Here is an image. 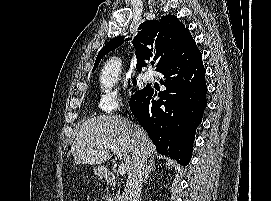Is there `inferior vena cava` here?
<instances>
[{
  "mask_svg": "<svg viewBox=\"0 0 271 201\" xmlns=\"http://www.w3.org/2000/svg\"><path fill=\"white\" fill-rule=\"evenodd\" d=\"M135 138L141 147L134 162L133 169L128 175V180L126 182L121 201H138L144 175L147 170L148 155L144 147L148 137L146 132L138 125L135 126Z\"/></svg>",
  "mask_w": 271,
  "mask_h": 201,
  "instance_id": "1",
  "label": "inferior vena cava"
}]
</instances>
